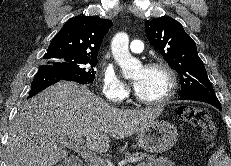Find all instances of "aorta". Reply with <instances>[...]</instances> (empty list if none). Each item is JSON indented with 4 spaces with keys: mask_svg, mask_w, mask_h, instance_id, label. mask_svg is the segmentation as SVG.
Masks as SVG:
<instances>
[{
    "mask_svg": "<svg viewBox=\"0 0 231 166\" xmlns=\"http://www.w3.org/2000/svg\"><path fill=\"white\" fill-rule=\"evenodd\" d=\"M128 45L129 37L123 32L116 34L111 43L112 54L124 77H131L142 67L141 62L130 54Z\"/></svg>",
    "mask_w": 231,
    "mask_h": 166,
    "instance_id": "762f6f07",
    "label": "aorta"
}]
</instances>
